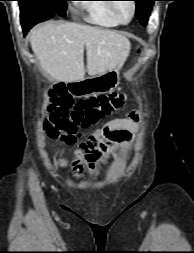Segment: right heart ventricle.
Masks as SVG:
<instances>
[{
  "instance_id": "1",
  "label": "right heart ventricle",
  "mask_w": 194,
  "mask_h": 253,
  "mask_svg": "<svg viewBox=\"0 0 194 253\" xmlns=\"http://www.w3.org/2000/svg\"><path fill=\"white\" fill-rule=\"evenodd\" d=\"M79 6L91 23L105 27H114L120 24L113 14L108 0H86L81 2Z\"/></svg>"
}]
</instances>
